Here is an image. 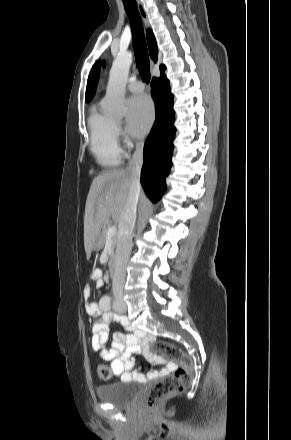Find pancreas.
<instances>
[{"mask_svg": "<svg viewBox=\"0 0 291 440\" xmlns=\"http://www.w3.org/2000/svg\"><path fill=\"white\" fill-rule=\"evenodd\" d=\"M110 226L111 225L109 222H105L102 226V231L99 236V241L102 245H104V243L106 242V239H107L106 232ZM116 243H117V235L115 234L111 239V250H110L111 257H113V255H114V249L116 247Z\"/></svg>", "mask_w": 291, "mask_h": 440, "instance_id": "pancreas-1", "label": "pancreas"}]
</instances>
